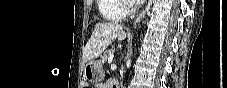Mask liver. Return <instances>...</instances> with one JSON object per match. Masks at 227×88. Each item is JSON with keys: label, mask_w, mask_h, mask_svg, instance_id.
I'll use <instances>...</instances> for the list:
<instances>
[{"label": "liver", "mask_w": 227, "mask_h": 88, "mask_svg": "<svg viewBox=\"0 0 227 88\" xmlns=\"http://www.w3.org/2000/svg\"><path fill=\"white\" fill-rule=\"evenodd\" d=\"M126 37L127 34L119 23H97L83 50V63L99 57L115 39L123 41Z\"/></svg>", "instance_id": "1"}]
</instances>
